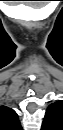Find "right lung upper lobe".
Listing matches in <instances>:
<instances>
[{"instance_id":"cb5924a9","label":"right lung upper lobe","mask_w":63,"mask_h":130,"mask_svg":"<svg viewBox=\"0 0 63 130\" xmlns=\"http://www.w3.org/2000/svg\"><path fill=\"white\" fill-rule=\"evenodd\" d=\"M0 128L1 130H21L17 113L11 108L0 107Z\"/></svg>"}]
</instances>
